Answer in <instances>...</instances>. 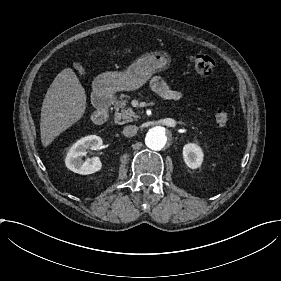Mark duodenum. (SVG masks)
Here are the masks:
<instances>
[{"label": "duodenum", "instance_id": "1", "mask_svg": "<svg viewBox=\"0 0 281 281\" xmlns=\"http://www.w3.org/2000/svg\"><path fill=\"white\" fill-rule=\"evenodd\" d=\"M111 95L104 90L96 91L93 96V103L96 110L93 114V121L97 125H103L109 117V107L111 105Z\"/></svg>", "mask_w": 281, "mask_h": 281}]
</instances>
